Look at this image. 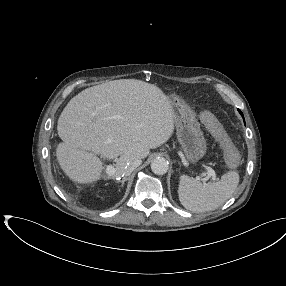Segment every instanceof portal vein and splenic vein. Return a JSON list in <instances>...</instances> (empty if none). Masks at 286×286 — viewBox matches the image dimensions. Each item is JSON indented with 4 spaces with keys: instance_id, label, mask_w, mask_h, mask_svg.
Masks as SVG:
<instances>
[{
    "instance_id": "portal-vein-and-splenic-vein-1",
    "label": "portal vein and splenic vein",
    "mask_w": 286,
    "mask_h": 286,
    "mask_svg": "<svg viewBox=\"0 0 286 286\" xmlns=\"http://www.w3.org/2000/svg\"><path fill=\"white\" fill-rule=\"evenodd\" d=\"M205 169L207 170V173L205 174L206 177L202 179L203 182L208 181L210 178L214 181L217 180L216 173L212 168L205 167ZM106 173L110 176L113 175L115 173V168L112 165H107Z\"/></svg>"
}]
</instances>
